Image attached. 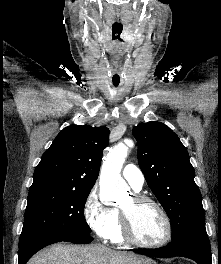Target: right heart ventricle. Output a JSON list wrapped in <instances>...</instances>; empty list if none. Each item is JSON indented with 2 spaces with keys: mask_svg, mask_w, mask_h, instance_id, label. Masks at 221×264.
I'll use <instances>...</instances> for the list:
<instances>
[{
  "mask_svg": "<svg viewBox=\"0 0 221 264\" xmlns=\"http://www.w3.org/2000/svg\"><path fill=\"white\" fill-rule=\"evenodd\" d=\"M114 212H115V223H114L113 229H112L108 238L113 243L123 244L125 242V239H124V237L122 235V231H121L119 211L114 210Z\"/></svg>",
  "mask_w": 221,
  "mask_h": 264,
  "instance_id": "obj_1",
  "label": "right heart ventricle"
}]
</instances>
